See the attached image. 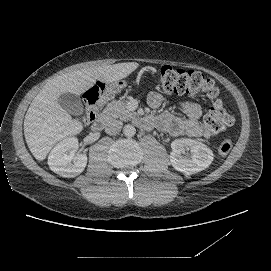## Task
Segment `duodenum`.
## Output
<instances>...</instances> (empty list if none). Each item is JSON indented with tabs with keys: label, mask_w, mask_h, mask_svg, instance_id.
<instances>
[{
	"label": "duodenum",
	"mask_w": 271,
	"mask_h": 271,
	"mask_svg": "<svg viewBox=\"0 0 271 271\" xmlns=\"http://www.w3.org/2000/svg\"><path fill=\"white\" fill-rule=\"evenodd\" d=\"M116 125L112 122L109 112L104 110L99 114L93 124V129L96 131L106 130L112 132L115 130Z\"/></svg>",
	"instance_id": "obj_1"
}]
</instances>
